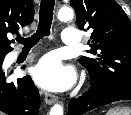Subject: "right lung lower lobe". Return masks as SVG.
Wrapping results in <instances>:
<instances>
[{"instance_id": "1", "label": "right lung lower lobe", "mask_w": 131, "mask_h": 115, "mask_svg": "<svg viewBox=\"0 0 131 115\" xmlns=\"http://www.w3.org/2000/svg\"><path fill=\"white\" fill-rule=\"evenodd\" d=\"M0 64V110L8 115H37L40 106L39 91L31 78L6 83Z\"/></svg>"}]
</instances>
